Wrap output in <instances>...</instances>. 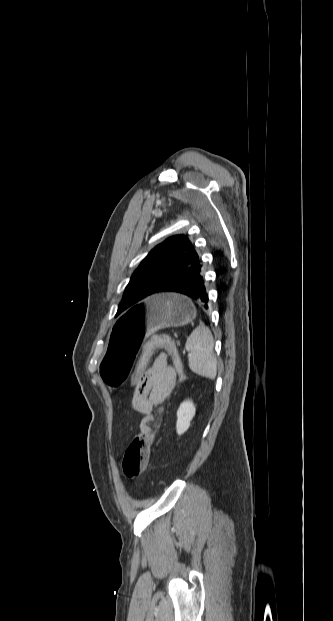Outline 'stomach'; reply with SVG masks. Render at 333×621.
<instances>
[{
	"instance_id": "0dacf381",
	"label": "stomach",
	"mask_w": 333,
	"mask_h": 621,
	"mask_svg": "<svg viewBox=\"0 0 333 621\" xmlns=\"http://www.w3.org/2000/svg\"><path fill=\"white\" fill-rule=\"evenodd\" d=\"M195 316L190 302L168 293L154 295L121 316L110 333L99 367L105 387L110 391L125 387L138 364L146 330L183 326Z\"/></svg>"
}]
</instances>
